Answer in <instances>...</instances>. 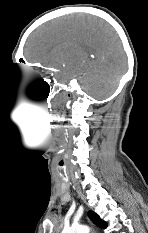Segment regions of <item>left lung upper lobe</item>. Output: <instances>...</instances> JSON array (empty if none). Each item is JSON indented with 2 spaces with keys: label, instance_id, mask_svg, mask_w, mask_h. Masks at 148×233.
Wrapping results in <instances>:
<instances>
[{
  "label": "left lung upper lobe",
  "instance_id": "left-lung-upper-lobe-1",
  "mask_svg": "<svg viewBox=\"0 0 148 233\" xmlns=\"http://www.w3.org/2000/svg\"><path fill=\"white\" fill-rule=\"evenodd\" d=\"M89 217L90 219L99 227L105 229L107 227V224L105 221H103L102 219H100V217L94 213V212H89Z\"/></svg>",
  "mask_w": 148,
  "mask_h": 233
}]
</instances>
